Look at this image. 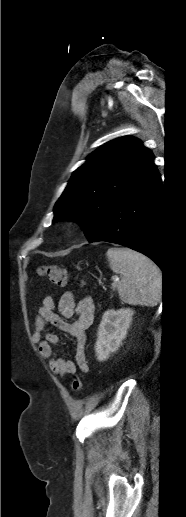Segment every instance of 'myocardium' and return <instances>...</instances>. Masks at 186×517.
I'll use <instances>...</instances> for the list:
<instances>
[{"label":"myocardium","mask_w":186,"mask_h":517,"mask_svg":"<svg viewBox=\"0 0 186 517\" xmlns=\"http://www.w3.org/2000/svg\"><path fill=\"white\" fill-rule=\"evenodd\" d=\"M67 231H68L69 233L71 232V226H70V225H68V226H67Z\"/></svg>","instance_id":"myocardium-1"}]
</instances>
